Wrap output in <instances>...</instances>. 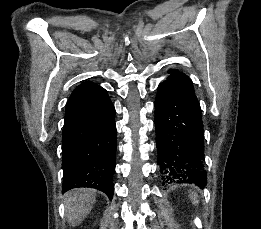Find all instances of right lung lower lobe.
I'll list each match as a JSON object with an SVG mask.
<instances>
[{
    "instance_id": "98d812e1",
    "label": "right lung lower lobe",
    "mask_w": 261,
    "mask_h": 229,
    "mask_svg": "<svg viewBox=\"0 0 261 229\" xmlns=\"http://www.w3.org/2000/svg\"><path fill=\"white\" fill-rule=\"evenodd\" d=\"M115 109L107 91L86 82L71 94L62 132V192L93 188L113 198Z\"/></svg>"
}]
</instances>
